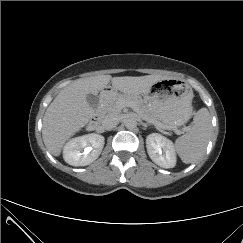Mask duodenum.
I'll return each mask as SVG.
<instances>
[{
	"label": "duodenum",
	"instance_id": "duodenum-1",
	"mask_svg": "<svg viewBox=\"0 0 243 243\" xmlns=\"http://www.w3.org/2000/svg\"><path fill=\"white\" fill-rule=\"evenodd\" d=\"M113 93V90L111 88H105L100 96V106L99 109L96 111V113L91 117V119L89 120V123L87 125V127L89 129H95L102 117V113H103V108L105 106V104L108 102V100L110 99L111 95Z\"/></svg>",
	"mask_w": 243,
	"mask_h": 243
}]
</instances>
